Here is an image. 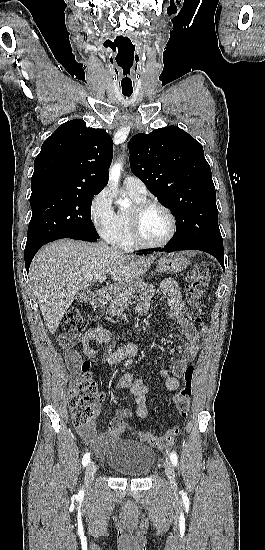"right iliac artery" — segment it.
Here are the masks:
<instances>
[{
	"mask_svg": "<svg viewBox=\"0 0 265 550\" xmlns=\"http://www.w3.org/2000/svg\"><path fill=\"white\" fill-rule=\"evenodd\" d=\"M89 462H90V453H86V454L83 456L82 464H83V466H87ZM81 493H83V491H80V494H81Z\"/></svg>",
	"mask_w": 265,
	"mask_h": 550,
	"instance_id": "right-iliac-artery-1",
	"label": "right iliac artery"
}]
</instances>
